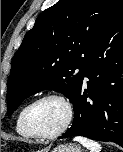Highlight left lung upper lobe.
I'll return each instance as SVG.
<instances>
[{
  "instance_id": "left-lung-upper-lobe-1",
  "label": "left lung upper lobe",
  "mask_w": 123,
  "mask_h": 152,
  "mask_svg": "<svg viewBox=\"0 0 123 152\" xmlns=\"http://www.w3.org/2000/svg\"><path fill=\"white\" fill-rule=\"evenodd\" d=\"M120 2L59 0L42 12L12 59L8 113L45 89L59 91L73 103L81 86L84 63Z\"/></svg>"
}]
</instances>
